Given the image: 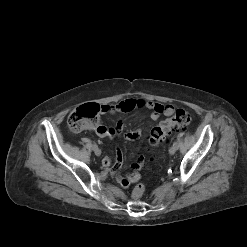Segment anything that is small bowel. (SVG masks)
<instances>
[{"instance_id":"small-bowel-1","label":"small bowel","mask_w":247,"mask_h":247,"mask_svg":"<svg viewBox=\"0 0 247 247\" xmlns=\"http://www.w3.org/2000/svg\"><path fill=\"white\" fill-rule=\"evenodd\" d=\"M136 108H145L152 111L151 119L157 120L161 115L169 116L173 114L174 107L169 104H161L152 101H146L142 99H132L127 98L120 101L117 104L112 105H104L102 106V113H128L133 111ZM124 128L123 121H118L114 127H107L104 125H97L95 127L89 128L90 130L94 131L100 137H114L122 132ZM142 133L141 129L128 132L125 135V138L129 141L137 140ZM144 163V157L140 156L137 160L131 165L133 172L129 173L126 176H123L120 173V169L123 165V155L120 149L116 151V160L115 164L111 170V175L115 178V180L123 187L127 188L130 184L136 182L140 178V174L138 170L142 167ZM102 164L105 167H110L111 159L108 156H105L102 159Z\"/></svg>"}]
</instances>
